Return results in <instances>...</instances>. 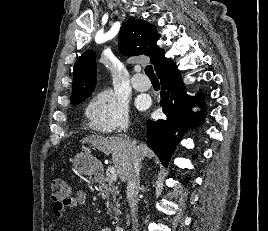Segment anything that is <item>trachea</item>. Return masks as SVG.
Returning a JSON list of instances; mask_svg holds the SVG:
<instances>
[{
	"label": "trachea",
	"mask_w": 268,
	"mask_h": 231,
	"mask_svg": "<svg viewBox=\"0 0 268 231\" xmlns=\"http://www.w3.org/2000/svg\"><path fill=\"white\" fill-rule=\"evenodd\" d=\"M145 73L149 78H156L153 67L151 65L146 66Z\"/></svg>",
	"instance_id": "3493384b"
}]
</instances>
